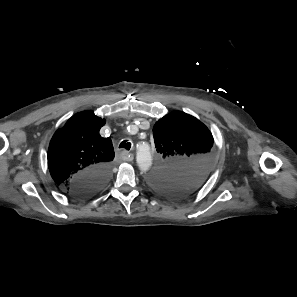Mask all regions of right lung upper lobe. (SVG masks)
<instances>
[{
    "instance_id": "1",
    "label": "right lung upper lobe",
    "mask_w": 297,
    "mask_h": 297,
    "mask_svg": "<svg viewBox=\"0 0 297 297\" xmlns=\"http://www.w3.org/2000/svg\"><path fill=\"white\" fill-rule=\"evenodd\" d=\"M105 122L94 112L83 111L54 134L48 150V167L58 185L67 190L77 174L98 165H111L115 155L112 141L99 134Z\"/></svg>"
}]
</instances>
